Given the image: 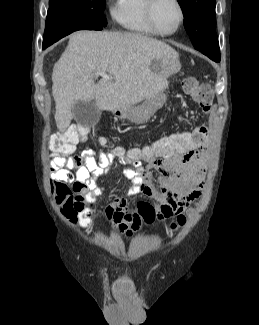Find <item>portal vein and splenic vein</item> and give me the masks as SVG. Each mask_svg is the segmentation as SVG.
I'll use <instances>...</instances> for the list:
<instances>
[{"mask_svg":"<svg viewBox=\"0 0 259 325\" xmlns=\"http://www.w3.org/2000/svg\"><path fill=\"white\" fill-rule=\"evenodd\" d=\"M95 75L96 76H101V77H103L105 79H111L109 75H107L106 73L100 72V71L96 72Z\"/></svg>","mask_w":259,"mask_h":325,"instance_id":"obj_1","label":"portal vein and splenic vein"}]
</instances>
